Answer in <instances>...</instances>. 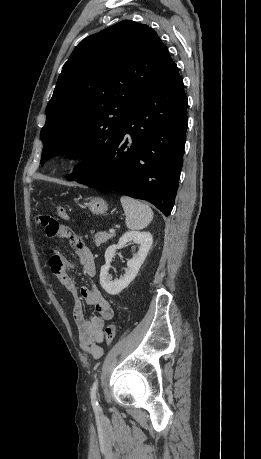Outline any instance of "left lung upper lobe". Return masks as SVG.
Listing matches in <instances>:
<instances>
[{
  "label": "left lung upper lobe",
  "mask_w": 261,
  "mask_h": 459,
  "mask_svg": "<svg viewBox=\"0 0 261 459\" xmlns=\"http://www.w3.org/2000/svg\"><path fill=\"white\" fill-rule=\"evenodd\" d=\"M174 61L148 25L125 20L81 41L59 75L46 107L41 165L66 153L94 172L136 106L168 75Z\"/></svg>",
  "instance_id": "left-lung-upper-lobe-1"
}]
</instances>
